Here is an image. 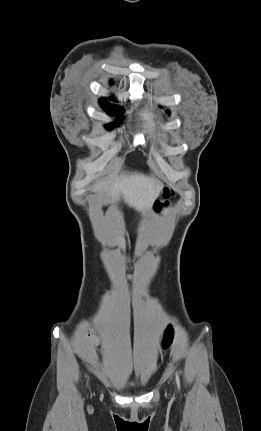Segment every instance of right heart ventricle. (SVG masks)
<instances>
[{"label":"right heart ventricle","instance_id":"obj_1","mask_svg":"<svg viewBox=\"0 0 261 431\" xmlns=\"http://www.w3.org/2000/svg\"><path fill=\"white\" fill-rule=\"evenodd\" d=\"M142 119L145 123V126L150 134H153L157 130V124H156V115L152 111H147L143 113Z\"/></svg>","mask_w":261,"mask_h":431}]
</instances>
